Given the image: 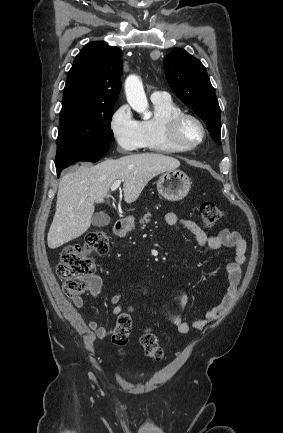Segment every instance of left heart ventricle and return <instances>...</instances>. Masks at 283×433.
Here are the masks:
<instances>
[{"label":"left heart ventricle","mask_w":283,"mask_h":433,"mask_svg":"<svg viewBox=\"0 0 283 433\" xmlns=\"http://www.w3.org/2000/svg\"><path fill=\"white\" fill-rule=\"evenodd\" d=\"M178 137L182 143L189 145L200 139L201 130L193 121L188 120L180 127Z\"/></svg>","instance_id":"1"}]
</instances>
